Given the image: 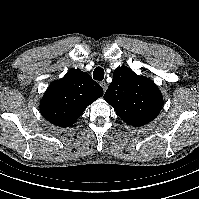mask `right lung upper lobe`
I'll return each instance as SVG.
<instances>
[{"instance_id": "cb5924a9", "label": "right lung upper lobe", "mask_w": 199, "mask_h": 199, "mask_svg": "<svg viewBox=\"0 0 199 199\" xmlns=\"http://www.w3.org/2000/svg\"><path fill=\"white\" fill-rule=\"evenodd\" d=\"M102 95L103 89L88 73L72 69L51 83L40 102V111L52 124L68 127Z\"/></svg>"}]
</instances>
